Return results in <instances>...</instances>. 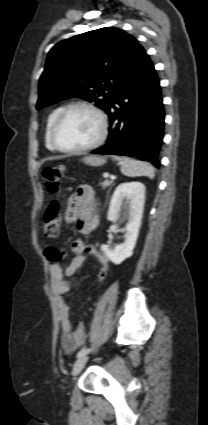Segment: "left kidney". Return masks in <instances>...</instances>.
<instances>
[{"instance_id": "left-kidney-1", "label": "left kidney", "mask_w": 208, "mask_h": 425, "mask_svg": "<svg viewBox=\"0 0 208 425\" xmlns=\"http://www.w3.org/2000/svg\"><path fill=\"white\" fill-rule=\"evenodd\" d=\"M125 200V201H124ZM145 186L140 182L122 183L115 189L109 210L108 219L116 222L123 208L128 223L125 226L124 242L111 248L102 245L101 250L116 265L121 264L133 254L138 238L139 228L144 210Z\"/></svg>"}]
</instances>
